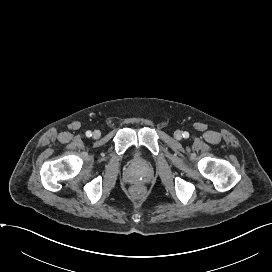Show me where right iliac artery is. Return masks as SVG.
<instances>
[{
	"instance_id": "1",
	"label": "right iliac artery",
	"mask_w": 272,
	"mask_h": 272,
	"mask_svg": "<svg viewBox=\"0 0 272 272\" xmlns=\"http://www.w3.org/2000/svg\"><path fill=\"white\" fill-rule=\"evenodd\" d=\"M86 136H87V137H91V136H92L91 131H87V132H86Z\"/></svg>"
}]
</instances>
